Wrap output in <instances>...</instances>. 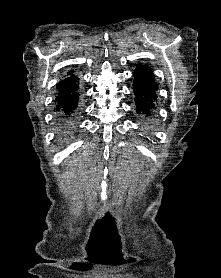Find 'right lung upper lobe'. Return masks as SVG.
Returning <instances> with one entry per match:
<instances>
[{"instance_id":"obj_1","label":"right lung upper lobe","mask_w":221,"mask_h":278,"mask_svg":"<svg viewBox=\"0 0 221 278\" xmlns=\"http://www.w3.org/2000/svg\"><path fill=\"white\" fill-rule=\"evenodd\" d=\"M73 73V71H70L68 74L70 75V74H72Z\"/></svg>"}]
</instances>
